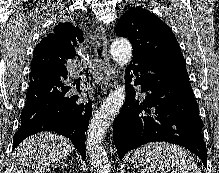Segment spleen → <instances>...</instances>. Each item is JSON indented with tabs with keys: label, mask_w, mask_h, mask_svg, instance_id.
Here are the masks:
<instances>
[{
	"label": "spleen",
	"mask_w": 219,
	"mask_h": 173,
	"mask_svg": "<svg viewBox=\"0 0 219 173\" xmlns=\"http://www.w3.org/2000/svg\"><path fill=\"white\" fill-rule=\"evenodd\" d=\"M131 162L140 173H202L189 152L166 142H150L139 147Z\"/></svg>",
	"instance_id": "obj_1"
}]
</instances>
